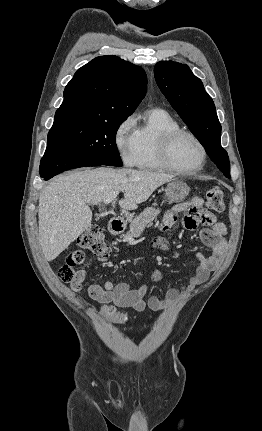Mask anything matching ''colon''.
Masks as SVG:
<instances>
[{"label":"colon","instance_id":"obj_1","mask_svg":"<svg viewBox=\"0 0 262 431\" xmlns=\"http://www.w3.org/2000/svg\"><path fill=\"white\" fill-rule=\"evenodd\" d=\"M206 205L214 211L224 210V194L220 187H211L206 194ZM161 240L157 239L159 243ZM82 250L91 252L97 257H106L110 249L105 242L101 229L96 225H91L86 233L82 234L77 240V247L74 248L66 258L65 264L58 270L59 278L66 284L80 281L82 273L77 269L82 264ZM113 317L117 323L126 322V316L114 312L107 314Z\"/></svg>","mask_w":262,"mask_h":431}]
</instances>
